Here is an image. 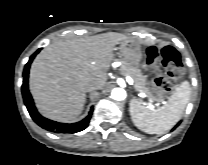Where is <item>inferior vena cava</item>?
I'll use <instances>...</instances> for the list:
<instances>
[{
  "instance_id": "obj_1",
  "label": "inferior vena cava",
  "mask_w": 208,
  "mask_h": 165,
  "mask_svg": "<svg viewBox=\"0 0 208 165\" xmlns=\"http://www.w3.org/2000/svg\"><path fill=\"white\" fill-rule=\"evenodd\" d=\"M98 89H100V86H98V85H90L87 88L88 91H94V90H98Z\"/></svg>"
}]
</instances>
